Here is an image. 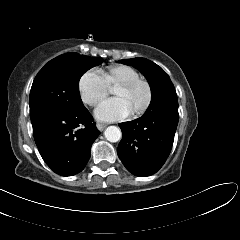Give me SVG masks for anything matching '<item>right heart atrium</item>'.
I'll return each mask as SVG.
<instances>
[{"mask_svg":"<svg viewBox=\"0 0 240 240\" xmlns=\"http://www.w3.org/2000/svg\"><path fill=\"white\" fill-rule=\"evenodd\" d=\"M78 91L83 103L94 106L109 93V86L101 75L87 71L78 81Z\"/></svg>","mask_w":240,"mask_h":240,"instance_id":"right-heart-atrium-1","label":"right heart atrium"}]
</instances>
